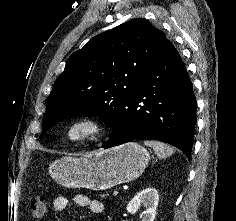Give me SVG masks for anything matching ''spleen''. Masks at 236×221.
Here are the masks:
<instances>
[{
    "label": "spleen",
    "mask_w": 236,
    "mask_h": 221,
    "mask_svg": "<svg viewBox=\"0 0 236 221\" xmlns=\"http://www.w3.org/2000/svg\"><path fill=\"white\" fill-rule=\"evenodd\" d=\"M144 145L151 147L155 154L161 159L167 158L174 153L171 146L160 141L146 140L144 141Z\"/></svg>",
    "instance_id": "spleen-1"
}]
</instances>
